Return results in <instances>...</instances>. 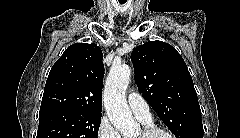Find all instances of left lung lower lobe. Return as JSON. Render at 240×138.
Here are the masks:
<instances>
[{
    "instance_id": "left-lung-lower-lobe-1",
    "label": "left lung lower lobe",
    "mask_w": 240,
    "mask_h": 138,
    "mask_svg": "<svg viewBox=\"0 0 240 138\" xmlns=\"http://www.w3.org/2000/svg\"><path fill=\"white\" fill-rule=\"evenodd\" d=\"M192 138H203V135H196V136H194Z\"/></svg>"
}]
</instances>
